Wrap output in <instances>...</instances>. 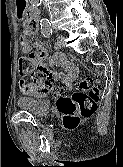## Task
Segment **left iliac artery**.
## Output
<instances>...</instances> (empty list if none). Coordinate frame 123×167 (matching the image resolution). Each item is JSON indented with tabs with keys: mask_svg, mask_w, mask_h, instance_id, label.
<instances>
[{
	"mask_svg": "<svg viewBox=\"0 0 123 167\" xmlns=\"http://www.w3.org/2000/svg\"><path fill=\"white\" fill-rule=\"evenodd\" d=\"M52 33H53V31H52V29H50V30H48V32L46 34H44V36L47 38H50L52 36ZM57 46H58L57 43H55V48H57Z\"/></svg>",
	"mask_w": 123,
	"mask_h": 167,
	"instance_id": "left-iliac-artery-1",
	"label": "left iliac artery"
}]
</instances>
